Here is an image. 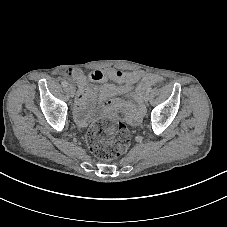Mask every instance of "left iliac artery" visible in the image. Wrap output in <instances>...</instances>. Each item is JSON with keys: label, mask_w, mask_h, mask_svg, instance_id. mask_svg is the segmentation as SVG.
Returning <instances> with one entry per match:
<instances>
[{"label": "left iliac artery", "mask_w": 227, "mask_h": 227, "mask_svg": "<svg viewBox=\"0 0 227 227\" xmlns=\"http://www.w3.org/2000/svg\"><path fill=\"white\" fill-rule=\"evenodd\" d=\"M151 90H152V88H148L147 90H146V93H150L151 92Z\"/></svg>", "instance_id": "44dca946"}]
</instances>
